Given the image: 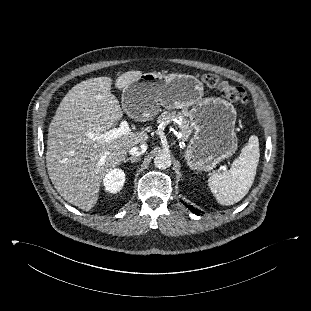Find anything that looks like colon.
<instances>
[{
    "instance_id": "1",
    "label": "colon",
    "mask_w": 311,
    "mask_h": 311,
    "mask_svg": "<svg viewBox=\"0 0 311 311\" xmlns=\"http://www.w3.org/2000/svg\"><path fill=\"white\" fill-rule=\"evenodd\" d=\"M202 80L208 87L224 91L233 104L241 106L248 103V95L244 88L230 85L216 74L202 75Z\"/></svg>"
}]
</instances>
